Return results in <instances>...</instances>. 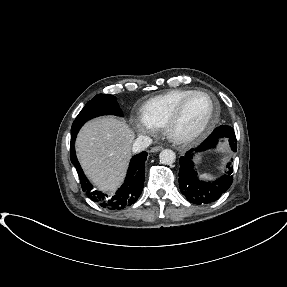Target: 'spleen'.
Instances as JSON below:
<instances>
[{"instance_id": "obj_1", "label": "spleen", "mask_w": 287, "mask_h": 287, "mask_svg": "<svg viewBox=\"0 0 287 287\" xmlns=\"http://www.w3.org/2000/svg\"><path fill=\"white\" fill-rule=\"evenodd\" d=\"M202 178H204V179H211L212 176L210 174H203Z\"/></svg>"}]
</instances>
